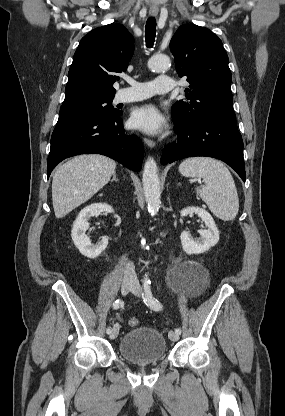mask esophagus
<instances>
[{
	"mask_svg": "<svg viewBox=\"0 0 285 416\" xmlns=\"http://www.w3.org/2000/svg\"><path fill=\"white\" fill-rule=\"evenodd\" d=\"M149 13L152 17H154L158 14V12H149ZM143 141L149 148H154L155 147V141L150 140L149 138H144Z\"/></svg>",
	"mask_w": 285,
	"mask_h": 416,
	"instance_id": "obj_1",
	"label": "esophagus"
}]
</instances>
